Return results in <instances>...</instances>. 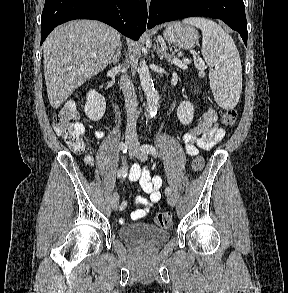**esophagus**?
Here are the masks:
<instances>
[{
	"label": "esophagus",
	"instance_id": "obj_1",
	"mask_svg": "<svg viewBox=\"0 0 288 293\" xmlns=\"http://www.w3.org/2000/svg\"><path fill=\"white\" fill-rule=\"evenodd\" d=\"M149 4H150V0H147V5L149 6Z\"/></svg>",
	"mask_w": 288,
	"mask_h": 293
}]
</instances>
